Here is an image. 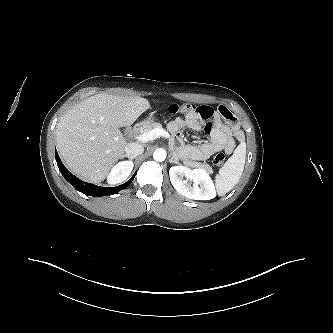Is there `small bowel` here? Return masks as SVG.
Here are the masks:
<instances>
[{
  "mask_svg": "<svg viewBox=\"0 0 333 333\" xmlns=\"http://www.w3.org/2000/svg\"><path fill=\"white\" fill-rule=\"evenodd\" d=\"M184 127L196 131L204 129L210 140L199 145L184 144L182 136ZM168 128L176 137L181 154L195 160H206L222 150L231 154L236 142L244 139L236 117L223 105L216 110L209 106H199L196 110L188 112L185 117L170 121Z\"/></svg>",
  "mask_w": 333,
  "mask_h": 333,
  "instance_id": "small-bowel-1",
  "label": "small bowel"
}]
</instances>
